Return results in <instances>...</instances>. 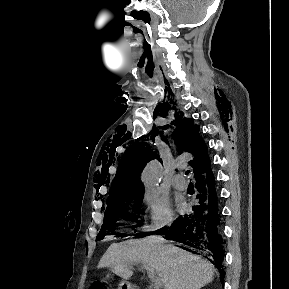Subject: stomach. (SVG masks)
<instances>
[{
	"label": "stomach",
	"mask_w": 289,
	"mask_h": 289,
	"mask_svg": "<svg viewBox=\"0 0 289 289\" xmlns=\"http://www.w3.org/2000/svg\"><path fill=\"white\" fill-rule=\"evenodd\" d=\"M119 289H133V288L131 287V285L127 281H123L120 284V288Z\"/></svg>",
	"instance_id": "0dacf381"
}]
</instances>
